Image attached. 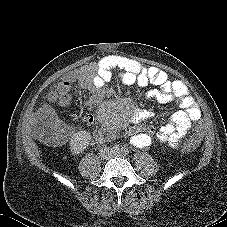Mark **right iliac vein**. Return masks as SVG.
<instances>
[{"label":"right iliac vein","instance_id":"1","mask_svg":"<svg viewBox=\"0 0 227 227\" xmlns=\"http://www.w3.org/2000/svg\"><path fill=\"white\" fill-rule=\"evenodd\" d=\"M109 154H110L109 149H103V150L100 151V157L103 160L107 159Z\"/></svg>","mask_w":227,"mask_h":227}]
</instances>
